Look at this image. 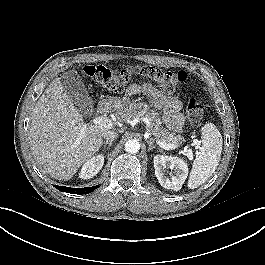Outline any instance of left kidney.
Returning a JSON list of instances; mask_svg holds the SVG:
<instances>
[{
    "label": "left kidney",
    "mask_w": 265,
    "mask_h": 265,
    "mask_svg": "<svg viewBox=\"0 0 265 265\" xmlns=\"http://www.w3.org/2000/svg\"><path fill=\"white\" fill-rule=\"evenodd\" d=\"M155 175L161 186L178 191L181 189L188 175V166L180 158L173 156H154ZM166 169H170V177L165 175Z\"/></svg>",
    "instance_id": "5707ae66"
}]
</instances>
